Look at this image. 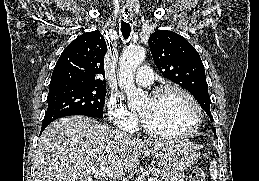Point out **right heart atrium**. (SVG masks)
I'll use <instances>...</instances> for the list:
<instances>
[{
	"label": "right heart atrium",
	"instance_id": "right-heart-atrium-1",
	"mask_svg": "<svg viewBox=\"0 0 259 181\" xmlns=\"http://www.w3.org/2000/svg\"><path fill=\"white\" fill-rule=\"evenodd\" d=\"M109 119L118 129L133 132L138 124V116L127 109L117 95H111L106 103Z\"/></svg>",
	"mask_w": 259,
	"mask_h": 181
}]
</instances>
